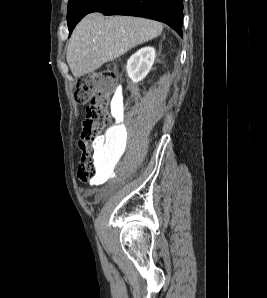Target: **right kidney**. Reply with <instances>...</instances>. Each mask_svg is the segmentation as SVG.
<instances>
[{"label": "right kidney", "mask_w": 267, "mask_h": 298, "mask_svg": "<svg viewBox=\"0 0 267 298\" xmlns=\"http://www.w3.org/2000/svg\"><path fill=\"white\" fill-rule=\"evenodd\" d=\"M155 55L153 47H143L128 59L126 70L133 83H138L146 77L154 63Z\"/></svg>", "instance_id": "right-kidney-1"}]
</instances>
